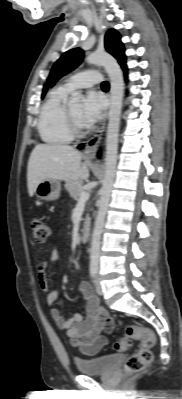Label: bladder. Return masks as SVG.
<instances>
[{
	"label": "bladder",
	"mask_w": 182,
	"mask_h": 399,
	"mask_svg": "<svg viewBox=\"0 0 182 399\" xmlns=\"http://www.w3.org/2000/svg\"><path fill=\"white\" fill-rule=\"evenodd\" d=\"M122 358L121 354L103 355L90 359H76L75 365L82 375H103Z\"/></svg>",
	"instance_id": "31cf9c89"
}]
</instances>
